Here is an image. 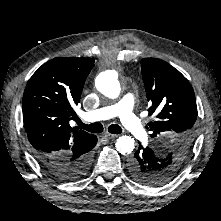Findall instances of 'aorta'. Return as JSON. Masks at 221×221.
I'll return each mask as SVG.
<instances>
[{
	"label": "aorta",
	"mask_w": 221,
	"mask_h": 221,
	"mask_svg": "<svg viewBox=\"0 0 221 221\" xmlns=\"http://www.w3.org/2000/svg\"><path fill=\"white\" fill-rule=\"evenodd\" d=\"M96 88L106 97L116 99L121 92L118 74L114 70L101 72L96 78ZM116 149L123 155L130 154L135 148V141L130 136H120L116 143Z\"/></svg>",
	"instance_id": "obj_1"
}]
</instances>
